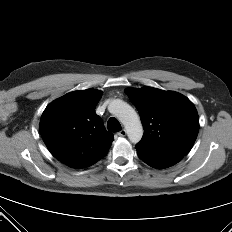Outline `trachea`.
Segmentation results:
<instances>
[{"instance_id":"obj_1","label":"trachea","mask_w":232,"mask_h":232,"mask_svg":"<svg viewBox=\"0 0 232 232\" xmlns=\"http://www.w3.org/2000/svg\"><path fill=\"white\" fill-rule=\"evenodd\" d=\"M107 128L110 132H119L121 131V125L119 123V121L114 118V117H111L108 122H107Z\"/></svg>"}]
</instances>
